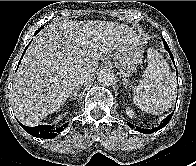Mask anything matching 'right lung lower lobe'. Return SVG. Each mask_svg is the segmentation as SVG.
Masks as SVG:
<instances>
[{"label":"right lung lower lobe","mask_w":196,"mask_h":166,"mask_svg":"<svg viewBox=\"0 0 196 166\" xmlns=\"http://www.w3.org/2000/svg\"><path fill=\"white\" fill-rule=\"evenodd\" d=\"M42 29V27H41ZM41 29H38L36 32H35V35L41 30ZM28 47V46H27ZM27 47L25 48L24 52L26 51ZM24 54V53H23ZM23 57V55H22ZM21 57V59H22ZM20 59V61H21ZM19 61V63H20ZM22 126V128L28 132L30 135H33L35 137H40V138H44V139H51V138H54L56 137V135L58 133H60L61 131H63L67 126H68V122L63 124L62 126L60 127H54V126H51V125H39V126H35V127H27V126H24L22 124H20Z\"/></svg>","instance_id":"98d812e1"}]
</instances>
